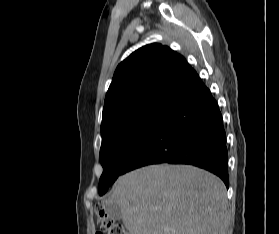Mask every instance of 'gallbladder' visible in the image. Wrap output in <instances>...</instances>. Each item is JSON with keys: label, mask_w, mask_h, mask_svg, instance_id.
Masks as SVG:
<instances>
[{"label": "gallbladder", "mask_w": 279, "mask_h": 234, "mask_svg": "<svg viewBox=\"0 0 279 234\" xmlns=\"http://www.w3.org/2000/svg\"><path fill=\"white\" fill-rule=\"evenodd\" d=\"M105 212L113 220L122 219V213H121L120 207L117 204L106 205Z\"/></svg>", "instance_id": "gallbladder-1"}]
</instances>
